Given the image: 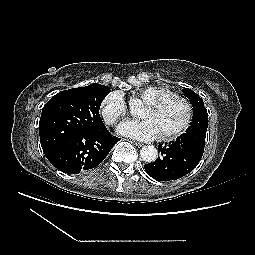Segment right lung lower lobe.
<instances>
[{"label": "right lung lower lobe", "mask_w": 255, "mask_h": 255, "mask_svg": "<svg viewBox=\"0 0 255 255\" xmlns=\"http://www.w3.org/2000/svg\"><path fill=\"white\" fill-rule=\"evenodd\" d=\"M119 140L106 127L97 133H77L65 139L47 159L62 172L78 174L99 165Z\"/></svg>", "instance_id": "right-lung-lower-lobe-1"}]
</instances>
